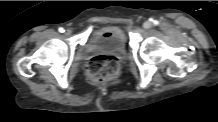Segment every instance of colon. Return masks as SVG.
Segmentation results:
<instances>
[{"label": "colon", "mask_w": 218, "mask_h": 122, "mask_svg": "<svg viewBox=\"0 0 218 122\" xmlns=\"http://www.w3.org/2000/svg\"><path fill=\"white\" fill-rule=\"evenodd\" d=\"M119 71V60L112 55L93 57L87 68V75L92 82L103 83L113 79Z\"/></svg>", "instance_id": "5ec220e1"}]
</instances>
